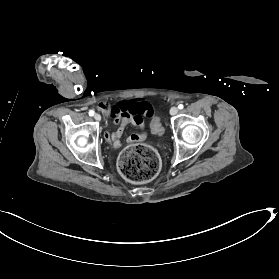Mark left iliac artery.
Wrapping results in <instances>:
<instances>
[{
	"instance_id": "obj_1",
	"label": "left iliac artery",
	"mask_w": 279,
	"mask_h": 279,
	"mask_svg": "<svg viewBox=\"0 0 279 279\" xmlns=\"http://www.w3.org/2000/svg\"><path fill=\"white\" fill-rule=\"evenodd\" d=\"M183 107H184L183 104H180V105L178 106L179 109H183Z\"/></svg>"
}]
</instances>
